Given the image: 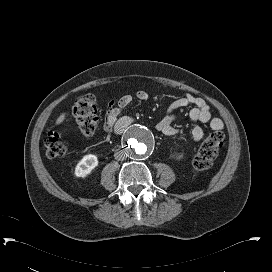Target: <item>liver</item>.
<instances>
[{
    "label": "liver",
    "instance_id": "6515ba94",
    "mask_svg": "<svg viewBox=\"0 0 272 272\" xmlns=\"http://www.w3.org/2000/svg\"><path fill=\"white\" fill-rule=\"evenodd\" d=\"M65 120V113H62L56 120V125L61 124Z\"/></svg>",
    "mask_w": 272,
    "mask_h": 272
}]
</instances>
